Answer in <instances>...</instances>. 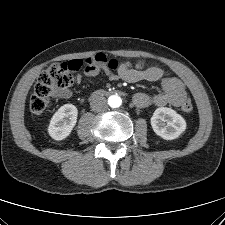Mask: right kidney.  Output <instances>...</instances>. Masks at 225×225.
<instances>
[{"instance_id":"ca27d5eb","label":"right kidney","mask_w":225,"mask_h":225,"mask_svg":"<svg viewBox=\"0 0 225 225\" xmlns=\"http://www.w3.org/2000/svg\"><path fill=\"white\" fill-rule=\"evenodd\" d=\"M78 110L73 104L61 106L50 120L49 135L56 141L67 138L77 122Z\"/></svg>"}]
</instances>
